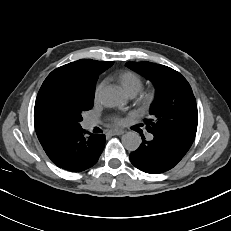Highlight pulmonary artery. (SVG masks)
<instances>
[{
    "label": "pulmonary artery",
    "instance_id": "pulmonary-artery-1",
    "mask_svg": "<svg viewBox=\"0 0 231 231\" xmlns=\"http://www.w3.org/2000/svg\"><path fill=\"white\" fill-rule=\"evenodd\" d=\"M98 124V120L97 119H93V118H88L84 121V127L85 128H92L94 126H96ZM153 138L152 135H148V139L151 140Z\"/></svg>",
    "mask_w": 231,
    "mask_h": 231
}]
</instances>
